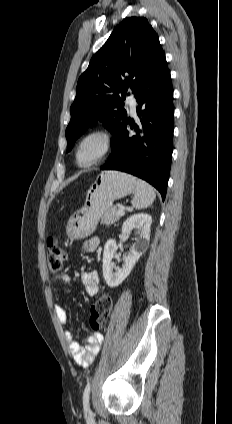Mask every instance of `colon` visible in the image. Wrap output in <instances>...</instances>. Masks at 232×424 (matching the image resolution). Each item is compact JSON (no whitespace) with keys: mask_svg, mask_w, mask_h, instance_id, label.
<instances>
[{"mask_svg":"<svg viewBox=\"0 0 232 424\" xmlns=\"http://www.w3.org/2000/svg\"><path fill=\"white\" fill-rule=\"evenodd\" d=\"M66 254L59 239L50 237L47 242L46 261L49 271L57 272L62 269ZM113 307L112 298L105 294L97 299L90 310L89 324L93 330L100 329L106 322Z\"/></svg>","mask_w":232,"mask_h":424,"instance_id":"colon-1","label":"colon"}]
</instances>
